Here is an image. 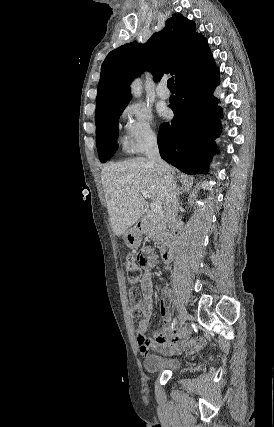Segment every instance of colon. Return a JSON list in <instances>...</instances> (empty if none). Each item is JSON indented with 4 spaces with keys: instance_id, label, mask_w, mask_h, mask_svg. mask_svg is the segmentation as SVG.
Returning <instances> with one entry per match:
<instances>
[{
    "instance_id": "obj_1",
    "label": "colon",
    "mask_w": 274,
    "mask_h": 427,
    "mask_svg": "<svg viewBox=\"0 0 274 427\" xmlns=\"http://www.w3.org/2000/svg\"><path fill=\"white\" fill-rule=\"evenodd\" d=\"M147 262V255L141 250L131 252L127 257V281L129 284L130 294V309L133 311V317L138 318L141 316L142 311L138 308L141 299V293L136 284L139 282L140 271L142 266ZM205 343L203 336H197L192 340L185 343V349L189 353L199 351Z\"/></svg>"
}]
</instances>
